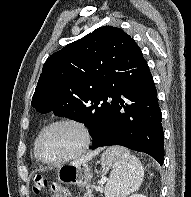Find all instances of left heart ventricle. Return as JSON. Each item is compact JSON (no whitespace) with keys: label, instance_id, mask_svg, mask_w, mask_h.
Wrapping results in <instances>:
<instances>
[{"label":"left heart ventricle","instance_id":"left-heart-ventricle-1","mask_svg":"<svg viewBox=\"0 0 191 197\" xmlns=\"http://www.w3.org/2000/svg\"><path fill=\"white\" fill-rule=\"evenodd\" d=\"M81 132L72 125H57L48 129L40 140V153L46 160L64 158L80 148Z\"/></svg>","mask_w":191,"mask_h":197}]
</instances>
